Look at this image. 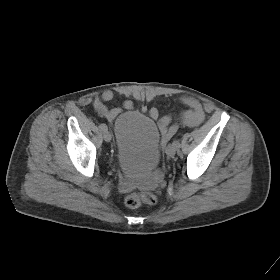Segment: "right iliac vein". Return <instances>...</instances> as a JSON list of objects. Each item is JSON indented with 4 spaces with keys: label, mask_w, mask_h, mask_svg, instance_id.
<instances>
[{
    "label": "right iliac vein",
    "mask_w": 280,
    "mask_h": 280,
    "mask_svg": "<svg viewBox=\"0 0 280 280\" xmlns=\"http://www.w3.org/2000/svg\"><path fill=\"white\" fill-rule=\"evenodd\" d=\"M103 138H104V140H105L106 142H110L111 139H112V136H111L110 132H108V131L106 130V131H104V133H103Z\"/></svg>",
    "instance_id": "obj_1"
}]
</instances>
